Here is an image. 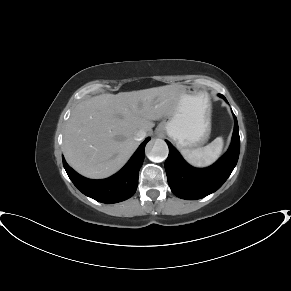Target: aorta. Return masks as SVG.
Returning <instances> with one entry per match:
<instances>
[{
	"label": "aorta",
	"instance_id": "aorta-1",
	"mask_svg": "<svg viewBox=\"0 0 291 291\" xmlns=\"http://www.w3.org/2000/svg\"><path fill=\"white\" fill-rule=\"evenodd\" d=\"M147 156L153 162H162L168 156V146L162 139L151 140L146 147Z\"/></svg>",
	"mask_w": 291,
	"mask_h": 291
}]
</instances>
